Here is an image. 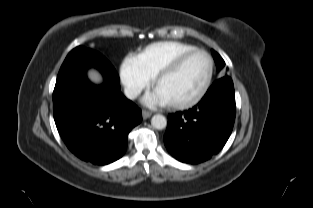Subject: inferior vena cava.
<instances>
[{
    "mask_svg": "<svg viewBox=\"0 0 313 208\" xmlns=\"http://www.w3.org/2000/svg\"><path fill=\"white\" fill-rule=\"evenodd\" d=\"M141 93V90L137 87H126L124 89V94L128 99H135Z\"/></svg>",
    "mask_w": 313,
    "mask_h": 208,
    "instance_id": "inferior-vena-cava-1",
    "label": "inferior vena cava"
}]
</instances>
